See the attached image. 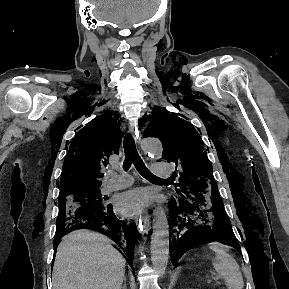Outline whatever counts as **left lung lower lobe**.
I'll return each instance as SVG.
<instances>
[{"label": "left lung lower lobe", "instance_id": "1", "mask_svg": "<svg viewBox=\"0 0 289 289\" xmlns=\"http://www.w3.org/2000/svg\"><path fill=\"white\" fill-rule=\"evenodd\" d=\"M169 207V251L173 263L194 247L193 240L207 236L222 238L239 250L229 217L216 190L204 193L202 189H193L171 198Z\"/></svg>", "mask_w": 289, "mask_h": 289}]
</instances>
